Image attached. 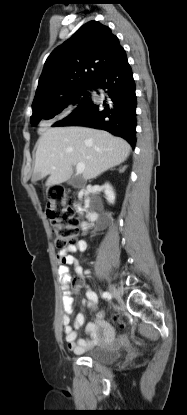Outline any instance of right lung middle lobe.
<instances>
[{
    "instance_id": "obj_1",
    "label": "right lung middle lobe",
    "mask_w": 187,
    "mask_h": 415,
    "mask_svg": "<svg viewBox=\"0 0 187 415\" xmlns=\"http://www.w3.org/2000/svg\"><path fill=\"white\" fill-rule=\"evenodd\" d=\"M91 85L92 84H88L85 86L75 88L71 92L67 93L58 102L32 108L33 114L30 118L31 124L35 126L41 120L52 119L54 116L58 115L63 110L71 106L79 105L81 102L85 101L89 97V90H91Z\"/></svg>"
}]
</instances>
